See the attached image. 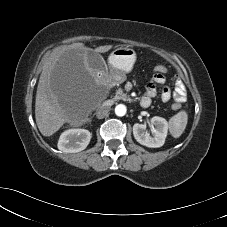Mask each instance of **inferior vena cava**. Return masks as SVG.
Returning <instances> with one entry per match:
<instances>
[{"label": "inferior vena cava", "mask_w": 227, "mask_h": 227, "mask_svg": "<svg viewBox=\"0 0 227 227\" xmlns=\"http://www.w3.org/2000/svg\"><path fill=\"white\" fill-rule=\"evenodd\" d=\"M109 111H110L109 106L101 105L96 111V117L98 119H102L109 115Z\"/></svg>", "instance_id": "inferior-vena-cava-1"}]
</instances>
